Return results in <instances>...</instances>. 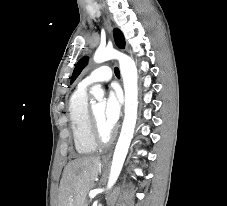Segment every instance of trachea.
<instances>
[{"label": "trachea", "mask_w": 227, "mask_h": 206, "mask_svg": "<svg viewBox=\"0 0 227 206\" xmlns=\"http://www.w3.org/2000/svg\"><path fill=\"white\" fill-rule=\"evenodd\" d=\"M114 72L117 77H120V71L117 67L115 68Z\"/></svg>", "instance_id": "trachea-1"}]
</instances>
